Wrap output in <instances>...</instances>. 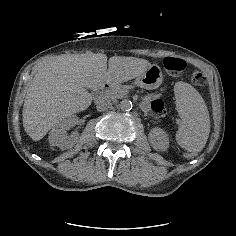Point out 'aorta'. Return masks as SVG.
<instances>
[{"label":"aorta","mask_w":236,"mask_h":236,"mask_svg":"<svg viewBox=\"0 0 236 236\" xmlns=\"http://www.w3.org/2000/svg\"><path fill=\"white\" fill-rule=\"evenodd\" d=\"M119 107L122 111H130L132 109V102L128 99H124L120 102Z\"/></svg>","instance_id":"aorta-1"}]
</instances>
